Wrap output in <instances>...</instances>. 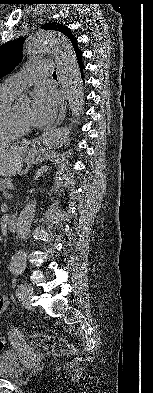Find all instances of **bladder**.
<instances>
[{
	"instance_id": "bladder-1",
	"label": "bladder",
	"mask_w": 153,
	"mask_h": 393,
	"mask_svg": "<svg viewBox=\"0 0 153 393\" xmlns=\"http://www.w3.org/2000/svg\"><path fill=\"white\" fill-rule=\"evenodd\" d=\"M24 373L17 352L7 350L0 354V378L15 380L20 378Z\"/></svg>"
}]
</instances>
